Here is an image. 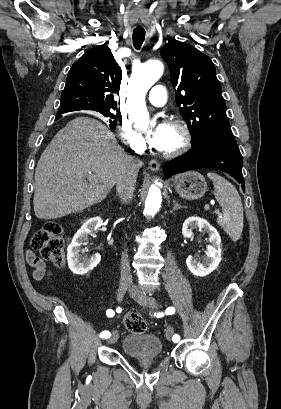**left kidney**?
Masks as SVG:
<instances>
[{"mask_svg":"<svg viewBox=\"0 0 281 409\" xmlns=\"http://www.w3.org/2000/svg\"><path fill=\"white\" fill-rule=\"evenodd\" d=\"M193 229H204L205 233L209 235V243L207 251H205L206 257H204L202 263L199 259H194L192 255H189L186 259V265L196 277H206L212 271L217 269L221 259V237L217 233L216 229L201 217H188L183 223L182 235L185 239H190L193 235Z\"/></svg>","mask_w":281,"mask_h":409,"instance_id":"1","label":"left kidney"}]
</instances>
